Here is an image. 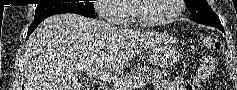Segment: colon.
I'll list each match as a JSON object with an SVG mask.
<instances>
[{
	"instance_id": "colon-1",
	"label": "colon",
	"mask_w": 237,
	"mask_h": 90,
	"mask_svg": "<svg viewBox=\"0 0 237 90\" xmlns=\"http://www.w3.org/2000/svg\"><path fill=\"white\" fill-rule=\"evenodd\" d=\"M209 45L214 47V48H218L219 47V43L217 41L214 40H209Z\"/></svg>"
}]
</instances>
